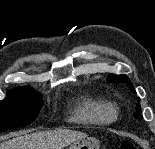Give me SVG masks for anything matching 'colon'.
Listing matches in <instances>:
<instances>
[{
  "label": "colon",
  "instance_id": "colon-1",
  "mask_svg": "<svg viewBox=\"0 0 155 149\" xmlns=\"http://www.w3.org/2000/svg\"><path fill=\"white\" fill-rule=\"evenodd\" d=\"M120 149H137L135 144L131 141H124L120 145Z\"/></svg>",
  "mask_w": 155,
  "mask_h": 149
}]
</instances>
